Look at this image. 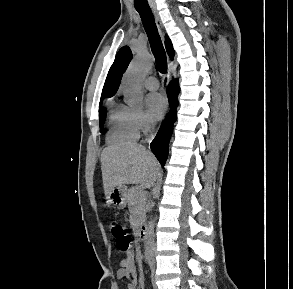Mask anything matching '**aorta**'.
I'll use <instances>...</instances> for the list:
<instances>
[{"instance_id": "1", "label": "aorta", "mask_w": 293, "mask_h": 289, "mask_svg": "<svg viewBox=\"0 0 293 289\" xmlns=\"http://www.w3.org/2000/svg\"><path fill=\"white\" fill-rule=\"evenodd\" d=\"M153 65L152 59L147 54H139L137 58L128 66L123 79L127 102L130 105H139L143 100L142 79ZM154 219H150L145 232V254L149 257L154 256L155 234Z\"/></svg>"}]
</instances>
